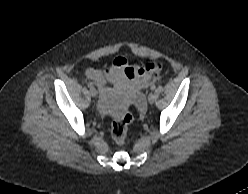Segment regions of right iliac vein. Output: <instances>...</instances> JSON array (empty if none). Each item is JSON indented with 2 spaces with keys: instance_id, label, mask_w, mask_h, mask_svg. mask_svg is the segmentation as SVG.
<instances>
[{
  "instance_id": "1",
  "label": "right iliac vein",
  "mask_w": 248,
  "mask_h": 194,
  "mask_svg": "<svg viewBox=\"0 0 248 194\" xmlns=\"http://www.w3.org/2000/svg\"><path fill=\"white\" fill-rule=\"evenodd\" d=\"M90 95L91 97H96L97 96V91L94 87L90 88Z\"/></svg>"
}]
</instances>
